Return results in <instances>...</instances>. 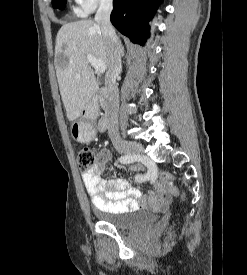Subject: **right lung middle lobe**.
<instances>
[{"label":"right lung middle lobe","mask_w":247,"mask_h":275,"mask_svg":"<svg viewBox=\"0 0 247 275\" xmlns=\"http://www.w3.org/2000/svg\"><path fill=\"white\" fill-rule=\"evenodd\" d=\"M52 4L54 8L64 9L66 0H52Z\"/></svg>","instance_id":"dd1d6c3e"}]
</instances>
